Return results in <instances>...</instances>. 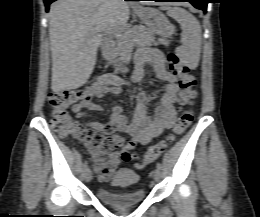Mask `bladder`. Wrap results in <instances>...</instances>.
I'll list each match as a JSON object with an SVG mask.
<instances>
[{
    "label": "bladder",
    "instance_id": "bladder-1",
    "mask_svg": "<svg viewBox=\"0 0 260 217\" xmlns=\"http://www.w3.org/2000/svg\"><path fill=\"white\" fill-rule=\"evenodd\" d=\"M139 176L130 169H119L112 184L121 190L99 187L96 195L102 202L114 207H126L143 202L146 198V191L142 188H131L137 184Z\"/></svg>",
    "mask_w": 260,
    "mask_h": 217
}]
</instances>
